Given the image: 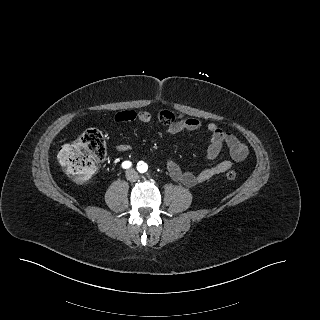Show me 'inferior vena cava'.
<instances>
[{"instance_id": "602c4592", "label": "inferior vena cava", "mask_w": 320, "mask_h": 320, "mask_svg": "<svg viewBox=\"0 0 320 320\" xmlns=\"http://www.w3.org/2000/svg\"><path fill=\"white\" fill-rule=\"evenodd\" d=\"M126 178L129 181H136L139 178V175L135 170L130 169L126 172Z\"/></svg>"}]
</instances>
